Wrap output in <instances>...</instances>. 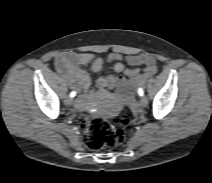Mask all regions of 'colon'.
I'll use <instances>...</instances> for the list:
<instances>
[{
  "instance_id": "5ec220e1",
  "label": "colon",
  "mask_w": 212,
  "mask_h": 183,
  "mask_svg": "<svg viewBox=\"0 0 212 183\" xmlns=\"http://www.w3.org/2000/svg\"><path fill=\"white\" fill-rule=\"evenodd\" d=\"M79 122L85 127L84 143L91 150L117 147L125 141V130L111 124L105 118L80 116ZM121 123L127 125V116L122 118Z\"/></svg>"
}]
</instances>
